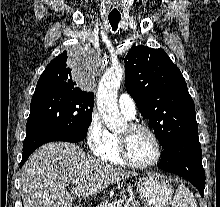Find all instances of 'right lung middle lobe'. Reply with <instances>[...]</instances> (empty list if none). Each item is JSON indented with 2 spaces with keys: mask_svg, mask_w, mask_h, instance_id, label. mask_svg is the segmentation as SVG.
Returning <instances> with one entry per match:
<instances>
[{
  "mask_svg": "<svg viewBox=\"0 0 220 207\" xmlns=\"http://www.w3.org/2000/svg\"><path fill=\"white\" fill-rule=\"evenodd\" d=\"M94 95L61 89H36L27 134L46 131L84 132L92 120Z\"/></svg>",
  "mask_w": 220,
  "mask_h": 207,
  "instance_id": "dd1d6c3e",
  "label": "right lung middle lobe"
}]
</instances>
